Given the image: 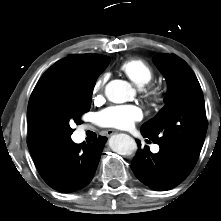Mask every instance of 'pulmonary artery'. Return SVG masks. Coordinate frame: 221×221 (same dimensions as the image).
<instances>
[{
    "mask_svg": "<svg viewBox=\"0 0 221 221\" xmlns=\"http://www.w3.org/2000/svg\"><path fill=\"white\" fill-rule=\"evenodd\" d=\"M153 152H158L159 151V146L158 145H154L152 148Z\"/></svg>",
    "mask_w": 221,
    "mask_h": 221,
    "instance_id": "1",
    "label": "pulmonary artery"
}]
</instances>
